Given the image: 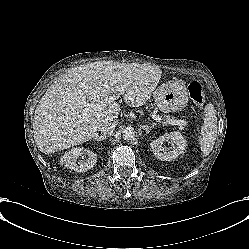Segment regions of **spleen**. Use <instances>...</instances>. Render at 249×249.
<instances>
[{
    "instance_id": "obj_1",
    "label": "spleen",
    "mask_w": 249,
    "mask_h": 249,
    "mask_svg": "<svg viewBox=\"0 0 249 249\" xmlns=\"http://www.w3.org/2000/svg\"><path fill=\"white\" fill-rule=\"evenodd\" d=\"M211 105H207L205 108V123L203 131L200 136V145L203 154H208L211 150V146L214 144L213 131L216 128L215 115Z\"/></svg>"
}]
</instances>
